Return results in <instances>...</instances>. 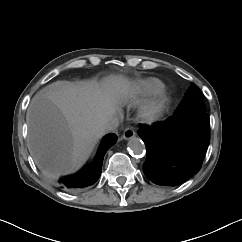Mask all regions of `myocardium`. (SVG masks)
<instances>
[{
    "label": "myocardium",
    "mask_w": 242,
    "mask_h": 242,
    "mask_svg": "<svg viewBox=\"0 0 242 242\" xmlns=\"http://www.w3.org/2000/svg\"><path fill=\"white\" fill-rule=\"evenodd\" d=\"M168 103V95L160 93L139 108L138 118L145 123H154L162 116Z\"/></svg>",
    "instance_id": "1"
}]
</instances>
